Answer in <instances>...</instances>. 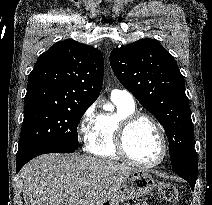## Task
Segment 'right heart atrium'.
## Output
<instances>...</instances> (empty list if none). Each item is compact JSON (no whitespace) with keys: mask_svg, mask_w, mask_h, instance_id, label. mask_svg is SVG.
<instances>
[{"mask_svg":"<svg viewBox=\"0 0 212 205\" xmlns=\"http://www.w3.org/2000/svg\"><path fill=\"white\" fill-rule=\"evenodd\" d=\"M95 106H89L81 115L77 126V138L80 142L87 144L92 136L96 123Z\"/></svg>","mask_w":212,"mask_h":205,"instance_id":"1","label":"right heart atrium"}]
</instances>
